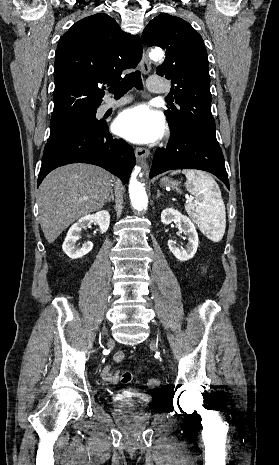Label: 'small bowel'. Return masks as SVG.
I'll use <instances>...</instances> for the list:
<instances>
[{
	"label": "small bowel",
	"mask_w": 279,
	"mask_h": 465,
	"mask_svg": "<svg viewBox=\"0 0 279 465\" xmlns=\"http://www.w3.org/2000/svg\"><path fill=\"white\" fill-rule=\"evenodd\" d=\"M125 360V355L123 352H117L113 356V362L106 365L100 372L103 380L109 383H117L120 379V374L118 370L114 368V364L123 362Z\"/></svg>",
	"instance_id": "c3829d8e"
}]
</instances>
